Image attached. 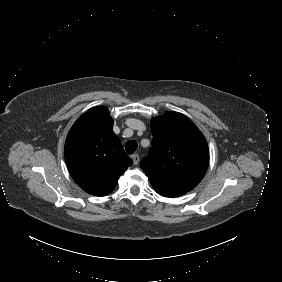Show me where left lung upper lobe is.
<instances>
[{
  "mask_svg": "<svg viewBox=\"0 0 282 282\" xmlns=\"http://www.w3.org/2000/svg\"><path fill=\"white\" fill-rule=\"evenodd\" d=\"M152 147L140 166L154 188L192 190L209 164L207 141L185 115L166 112L151 120Z\"/></svg>",
  "mask_w": 282,
  "mask_h": 282,
  "instance_id": "left-lung-upper-lobe-1",
  "label": "left lung upper lobe"
}]
</instances>
